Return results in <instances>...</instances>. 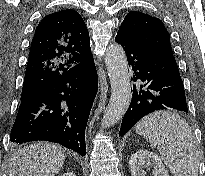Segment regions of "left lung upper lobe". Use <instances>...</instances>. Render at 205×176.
Wrapping results in <instances>:
<instances>
[{
	"instance_id": "5c2ea615",
	"label": "left lung upper lobe",
	"mask_w": 205,
	"mask_h": 176,
	"mask_svg": "<svg viewBox=\"0 0 205 176\" xmlns=\"http://www.w3.org/2000/svg\"><path fill=\"white\" fill-rule=\"evenodd\" d=\"M119 31L137 45L163 55L173 56L169 33L158 18L132 11L125 16Z\"/></svg>"
}]
</instances>
